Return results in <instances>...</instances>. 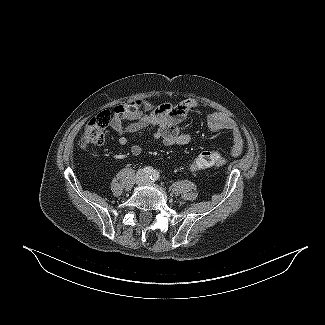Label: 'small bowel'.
<instances>
[{
    "label": "small bowel",
    "mask_w": 325,
    "mask_h": 325,
    "mask_svg": "<svg viewBox=\"0 0 325 325\" xmlns=\"http://www.w3.org/2000/svg\"><path fill=\"white\" fill-rule=\"evenodd\" d=\"M199 106L194 99H187L177 104L162 103L153 105L142 102V110L128 114L124 118L114 117L111 121L112 130L118 135V142L124 146L128 143V135L138 133L150 126L156 127L154 138L161 140L167 146H184L192 142V136L183 133L179 124L184 120L187 113ZM127 121L124 124L123 121ZM205 120L209 130L216 132L227 130L232 133L233 144L231 153L240 155L243 151L244 141L238 126L226 115L219 112H206ZM130 154L138 156L142 153L140 145H132ZM221 162V160H220ZM219 162V163H220ZM193 162L190 164L191 170Z\"/></svg>",
    "instance_id": "c3829d8e"
}]
</instances>
